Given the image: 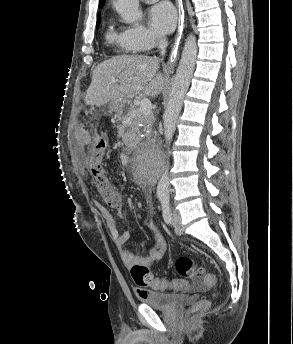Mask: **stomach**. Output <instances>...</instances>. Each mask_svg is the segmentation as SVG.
Segmentation results:
<instances>
[{
  "label": "stomach",
  "instance_id": "obj_1",
  "mask_svg": "<svg viewBox=\"0 0 293 344\" xmlns=\"http://www.w3.org/2000/svg\"><path fill=\"white\" fill-rule=\"evenodd\" d=\"M126 106V101L124 100H116L112 101L109 104V108L112 112H115L117 114H121L123 112L124 107Z\"/></svg>",
  "mask_w": 293,
  "mask_h": 344
}]
</instances>
